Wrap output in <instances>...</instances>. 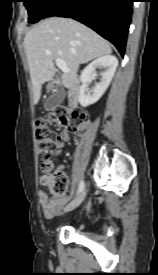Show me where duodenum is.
Here are the masks:
<instances>
[{
  "mask_svg": "<svg viewBox=\"0 0 158 275\" xmlns=\"http://www.w3.org/2000/svg\"><path fill=\"white\" fill-rule=\"evenodd\" d=\"M79 102V87L77 83L70 85L68 89V104L71 107L77 106Z\"/></svg>",
  "mask_w": 158,
  "mask_h": 275,
  "instance_id": "410a0bca",
  "label": "duodenum"
}]
</instances>
